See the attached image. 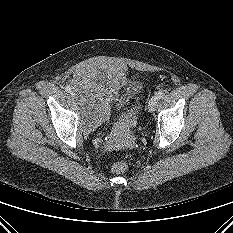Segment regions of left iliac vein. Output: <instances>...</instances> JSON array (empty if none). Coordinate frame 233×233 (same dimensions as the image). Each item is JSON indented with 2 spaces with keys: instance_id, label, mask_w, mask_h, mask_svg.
Segmentation results:
<instances>
[{
  "instance_id": "4c4485c4",
  "label": "left iliac vein",
  "mask_w": 233,
  "mask_h": 233,
  "mask_svg": "<svg viewBox=\"0 0 233 233\" xmlns=\"http://www.w3.org/2000/svg\"><path fill=\"white\" fill-rule=\"evenodd\" d=\"M157 104V100H155L154 98H151L148 102V110L150 112H153L155 110Z\"/></svg>"
}]
</instances>
